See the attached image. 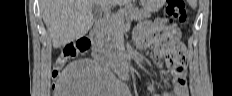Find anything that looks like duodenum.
<instances>
[{"mask_svg": "<svg viewBox=\"0 0 232 96\" xmlns=\"http://www.w3.org/2000/svg\"><path fill=\"white\" fill-rule=\"evenodd\" d=\"M100 29L98 26H95L91 29L89 36L92 41H94L99 35ZM93 57L96 60L107 62L109 61L111 66L115 69L119 77L127 78L131 72V66L128 60L124 55L120 54L117 58H112L111 54L102 51L97 48L95 45L93 47Z\"/></svg>", "mask_w": 232, "mask_h": 96, "instance_id": "obj_1", "label": "duodenum"}]
</instances>
